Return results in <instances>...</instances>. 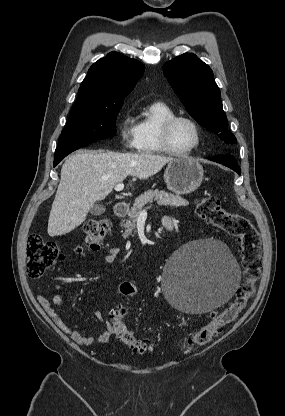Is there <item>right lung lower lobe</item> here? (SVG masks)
<instances>
[{"mask_svg":"<svg viewBox=\"0 0 285 416\" xmlns=\"http://www.w3.org/2000/svg\"><path fill=\"white\" fill-rule=\"evenodd\" d=\"M92 142H73V143L58 145L55 151V155H54V166H56L64 157H66L71 152L87 144H90Z\"/></svg>","mask_w":285,"mask_h":416,"instance_id":"obj_1","label":"right lung lower lobe"}]
</instances>
